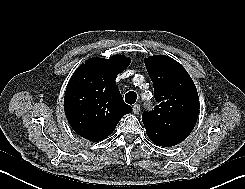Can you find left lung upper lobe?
Returning a JSON list of instances; mask_svg holds the SVG:
<instances>
[{
    "label": "left lung upper lobe",
    "instance_id": "1",
    "mask_svg": "<svg viewBox=\"0 0 245 189\" xmlns=\"http://www.w3.org/2000/svg\"><path fill=\"white\" fill-rule=\"evenodd\" d=\"M144 62L159 103L142 115L146 133L156 145H177L189 136L197 122V89L185 68L174 59L158 55L145 58Z\"/></svg>",
    "mask_w": 245,
    "mask_h": 189
}]
</instances>
